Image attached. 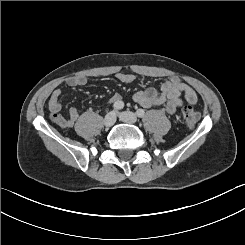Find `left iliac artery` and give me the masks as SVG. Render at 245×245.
Returning <instances> with one entry per match:
<instances>
[{"mask_svg": "<svg viewBox=\"0 0 245 245\" xmlns=\"http://www.w3.org/2000/svg\"><path fill=\"white\" fill-rule=\"evenodd\" d=\"M136 114L138 117H143L145 115V111L143 109H138Z\"/></svg>", "mask_w": 245, "mask_h": 245, "instance_id": "44dca946", "label": "left iliac artery"}]
</instances>
